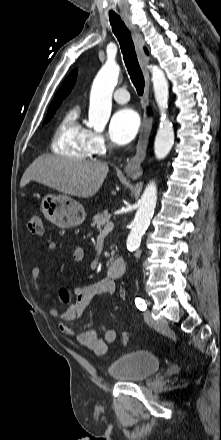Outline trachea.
Instances as JSON below:
<instances>
[{
	"label": "trachea",
	"mask_w": 221,
	"mask_h": 440,
	"mask_svg": "<svg viewBox=\"0 0 221 440\" xmlns=\"http://www.w3.org/2000/svg\"><path fill=\"white\" fill-rule=\"evenodd\" d=\"M110 24L112 26L113 33L119 41L123 54V59L130 75L131 81L135 86L137 93L139 95H142L144 92L145 81L137 60L134 43L132 41L130 32L125 24L122 22L121 18H110Z\"/></svg>",
	"instance_id": "trachea-1"
}]
</instances>
